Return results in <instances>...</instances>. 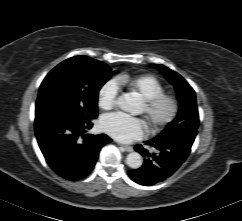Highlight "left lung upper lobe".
<instances>
[{"instance_id": "1", "label": "left lung upper lobe", "mask_w": 242, "mask_h": 221, "mask_svg": "<svg viewBox=\"0 0 242 221\" xmlns=\"http://www.w3.org/2000/svg\"><path fill=\"white\" fill-rule=\"evenodd\" d=\"M152 66L159 69L169 82L174 85L179 100V113L177 118L169 123L162 133L154 139L181 137L194 139L199 125L195 91L173 70L159 64H152Z\"/></svg>"}]
</instances>
